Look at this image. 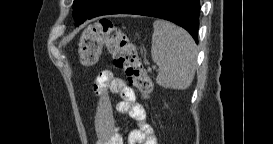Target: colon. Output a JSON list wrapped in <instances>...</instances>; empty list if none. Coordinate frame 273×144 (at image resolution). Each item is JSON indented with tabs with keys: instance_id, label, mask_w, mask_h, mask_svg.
<instances>
[{
	"instance_id": "5ec220e1",
	"label": "colon",
	"mask_w": 273,
	"mask_h": 144,
	"mask_svg": "<svg viewBox=\"0 0 273 144\" xmlns=\"http://www.w3.org/2000/svg\"><path fill=\"white\" fill-rule=\"evenodd\" d=\"M104 45L112 55L114 66L125 73L129 83L143 97H147L152 91L147 70L127 35L111 20L100 19L84 29L79 44L81 64L86 68L94 66Z\"/></svg>"
}]
</instances>
